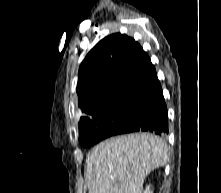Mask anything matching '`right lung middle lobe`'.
<instances>
[{"label": "right lung middle lobe", "mask_w": 221, "mask_h": 193, "mask_svg": "<svg viewBox=\"0 0 221 193\" xmlns=\"http://www.w3.org/2000/svg\"><path fill=\"white\" fill-rule=\"evenodd\" d=\"M148 108V100L130 98L103 106L93 116L80 120V144L90 147L117 135L141 118Z\"/></svg>", "instance_id": "obj_1"}]
</instances>
